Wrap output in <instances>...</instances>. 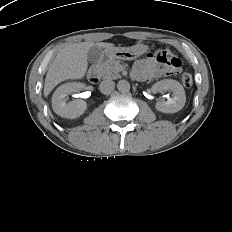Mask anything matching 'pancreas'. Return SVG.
Masks as SVG:
<instances>
[{
	"label": "pancreas",
	"instance_id": "cf45deb5",
	"mask_svg": "<svg viewBox=\"0 0 232 232\" xmlns=\"http://www.w3.org/2000/svg\"><path fill=\"white\" fill-rule=\"evenodd\" d=\"M121 62L119 60L109 61L107 63L99 65L101 74L105 79H117L120 77Z\"/></svg>",
	"mask_w": 232,
	"mask_h": 232
}]
</instances>
